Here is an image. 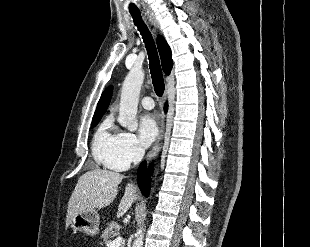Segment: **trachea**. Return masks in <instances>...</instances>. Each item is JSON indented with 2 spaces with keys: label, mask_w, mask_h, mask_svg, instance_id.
I'll return each mask as SVG.
<instances>
[{
  "label": "trachea",
  "mask_w": 310,
  "mask_h": 247,
  "mask_svg": "<svg viewBox=\"0 0 310 247\" xmlns=\"http://www.w3.org/2000/svg\"><path fill=\"white\" fill-rule=\"evenodd\" d=\"M130 14L144 40L145 47L148 53V58H149V67H150L152 83H153L154 90L157 96L160 97L164 93L165 85H164L162 69H161V65H160V61H159V57H158V53H157L154 40L152 38V35L149 29L147 28L145 23L142 21L140 11L130 10Z\"/></svg>",
  "instance_id": "trachea-1"
}]
</instances>
